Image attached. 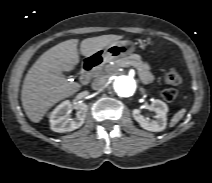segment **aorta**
Returning a JSON list of instances; mask_svg holds the SVG:
<instances>
[{
	"mask_svg": "<svg viewBox=\"0 0 212 183\" xmlns=\"http://www.w3.org/2000/svg\"><path fill=\"white\" fill-rule=\"evenodd\" d=\"M137 88L136 80L132 76L121 75L118 76L114 81L115 92L120 97H130L134 95Z\"/></svg>",
	"mask_w": 212,
	"mask_h": 183,
	"instance_id": "obj_1",
	"label": "aorta"
}]
</instances>
